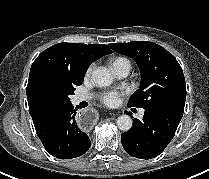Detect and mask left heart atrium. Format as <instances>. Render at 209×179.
<instances>
[{
	"mask_svg": "<svg viewBox=\"0 0 209 179\" xmlns=\"http://www.w3.org/2000/svg\"><path fill=\"white\" fill-rule=\"evenodd\" d=\"M120 93L117 91H107L101 94V101L107 106H115L119 101Z\"/></svg>",
	"mask_w": 209,
	"mask_h": 179,
	"instance_id": "obj_1",
	"label": "left heart atrium"
}]
</instances>
